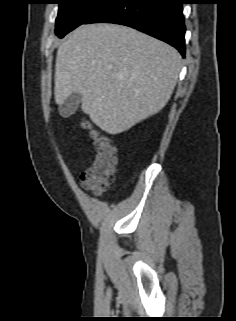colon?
Wrapping results in <instances>:
<instances>
[{"instance_id": "obj_1", "label": "colon", "mask_w": 236, "mask_h": 321, "mask_svg": "<svg viewBox=\"0 0 236 321\" xmlns=\"http://www.w3.org/2000/svg\"><path fill=\"white\" fill-rule=\"evenodd\" d=\"M82 127L90 131L95 153L81 175V185L83 189L90 193L100 194L114 180L117 163L116 149L111 139L101 130L92 127L89 122H83Z\"/></svg>"}]
</instances>
